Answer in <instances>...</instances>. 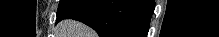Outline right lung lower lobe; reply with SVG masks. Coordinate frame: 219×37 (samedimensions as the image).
<instances>
[{
    "label": "right lung lower lobe",
    "instance_id": "98d812e1",
    "mask_svg": "<svg viewBox=\"0 0 219 37\" xmlns=\"http://www.w3.org/2000/svg\"><path fill=\"white\" fill-rule=\"evenodd\" d=\"M154 0H74L58 15L92 27L100 37H145Z\"/></svg>",
    "mask_w": 219,
    "mask_h": 37
}]
</instances>
